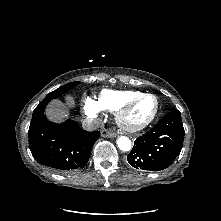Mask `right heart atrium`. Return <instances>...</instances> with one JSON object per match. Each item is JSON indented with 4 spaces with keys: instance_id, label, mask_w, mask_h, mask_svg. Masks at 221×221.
I'll list each match as a JSON object with an SVG mask.
<instances>
[{
    "instance_id": "obj_1",
    "label": "right heart atrium",
    "mask_w": 221,
    "mask_h": 221,
    "mask_svg": "<svg viewBox=\"0 0 221 221\" xmlns=\"http://www.w3.org/2000/svg\"><path fill=\"white\" fill-rule=\"evenodd\" d=\"M83 110L84 113L90 117H96L101 111L97 106L96 101L90 97L84 99Z\"/></svg>"
}]
</instances>
